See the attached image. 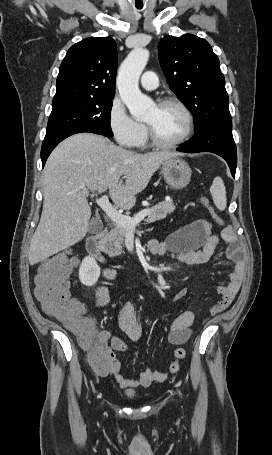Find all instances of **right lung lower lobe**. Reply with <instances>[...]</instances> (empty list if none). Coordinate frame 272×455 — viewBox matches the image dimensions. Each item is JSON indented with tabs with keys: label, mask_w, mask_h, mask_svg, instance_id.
<instances>
[{
	"label": "right lung lower lobe",
	"mask_w": 272,
	"mask_h": 455,
	"mask_svg": "<svg viewBox=\"0 0 272 455\" xmlns=\"http://www.w3.org/2000/svg\"><path fill=\"white\" fill-rule=\"evenodd\" d=\"M81 132H90V133H96L103 135L99 131L92 129V128H86V127H78V128H67V129H62L58 130L55 132L47 133L43 144H42V149H41V160H42V166L45 165V162L50 155L51 151L65 138L76 134V133H81Z\"/></svg>",
	"instance_id": "98d812e1"
}]
</instances>
